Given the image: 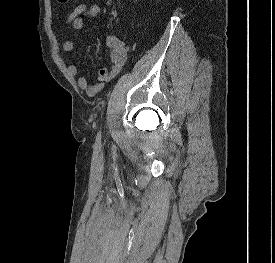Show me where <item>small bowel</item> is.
<instances>
[{"label": "small bowel", "mask_w": 275, "mask_h": 263, "mask_svg": "<svg viewBox=\"0 0 275 263\" xmlns=\"http://www.w3.org/2000/svg\"><path fill=\"white\" fill-rule=\"evenodd\" d=\"M100 12L101 8L97 4L81 3L68 15L67 21L73 29L82 30L86 23L98 17ZM106 43L110 48L111 68H101L98 72V81L94 84H89L83 76L78 77L76 80L78 88L84 90L89 96L96 95L104 88L105 84L119 74L127 59L125 41L114 35H108ZM74 47V42L67 40L62 44V51L70 52ZM67 71L70 76L75 77L78 73V68L75 64H69Z\"/></svg>", "instance_id": "c3829d8e"}]
</instances>
